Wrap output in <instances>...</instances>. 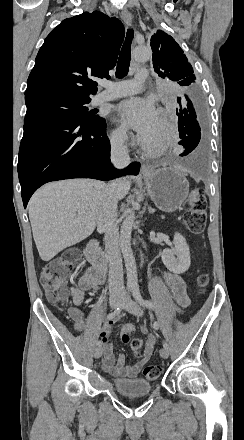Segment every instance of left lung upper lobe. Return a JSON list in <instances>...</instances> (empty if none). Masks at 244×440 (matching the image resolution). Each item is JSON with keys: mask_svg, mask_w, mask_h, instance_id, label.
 I'll return each instance as SVG.
<instances>
[{"mask_svg": "<svg viewBox=\"0 0 244 440\" xmlns=\"http://www.w3.org/2000/svg\"><path fill=\"white\" fill-rule=\"evenodd\" d=\"M153 67L161 78L176 81L181 86H193L195 75L183 50L176 41L162 30L151 38Z\"/></svg>", "mask_w": 244, "mask_h": 440, "instance_id": "1", "label": "left lung upper lobe"}]
</instances>
